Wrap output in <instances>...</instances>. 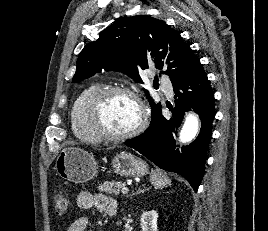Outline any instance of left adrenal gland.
I'll list each match as a JSON object with an SVG mask.
<instances>
[{"instance_id": "a2214340", "label": "left adrenal gland", "mask_w": 268, "mask_h": 231, "mask_svg": "<svg viewBox=\"0 0 268 231\" xmlns=\"http://www.w3.org/2000/svg\"><path fill=\"white\" fill-rule=\"evenodd\" d=\"M145 190H146L145 188L144 189L139 188L138 191L136 192V194H139L141 192H144Z\"/></svg>"}]
</instances>
